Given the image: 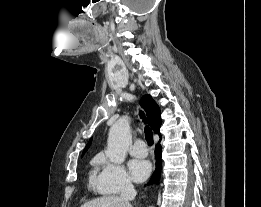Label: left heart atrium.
Wrapping results in <instances>:
<instances>
[{
    "mask_svg": "<svg viewBox=\"0 0 261 207\" xmlns=\"http://www.w3.org/2000/svg\"><path fill=\"white\" fill-rule=\"evenodd\" d=\"M129 171L135 182H143L151 173V164L144 159H133L129 162Z\"/></svg>",
    "mask_w": 261,
    "mask_h": 207,
    "instance_id": "39dd6f15",
    "label": "left heart atrium"
}]
</instances>
